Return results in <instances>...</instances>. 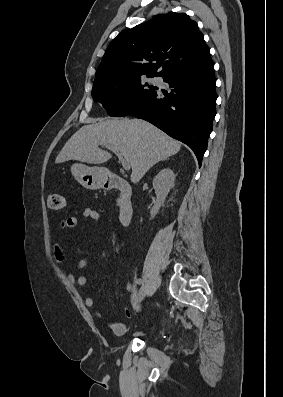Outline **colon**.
<instances>
[{
	"label": "colon",
	"instance_id": "colon-1",
	"mask_svg": "<svg viewBox=\"0 0 283 397\" xmlns=\"http://www.w3.org/2000/svg\"><path fill=\"white\" fill-rule=\"evenodd\" d=\"M47 205L52 210H61L65 206V199L58 192H51L47 198Z\"/></svg>",
	"mask_w": 283,
	"mask_h": 397
}]
</instances>
